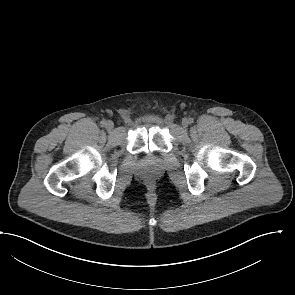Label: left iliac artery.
I'll return each mask as SVG.
<instances>
[{
	"instance_id": "1",
	"label": "left iliac artery",
	"mask_w": 295,
	"mask_h": 295,
	"mask_svg": "<svg viewBox=\"0 0 295 295\" xmlns=\"http://www.w3.org/2000/svg\"><path fill=\"white\" fill-rule=\"evenodd\" d=\"M188 120L190 124L193 123V118H189Z\"/></svg>"
}]
</instances>
